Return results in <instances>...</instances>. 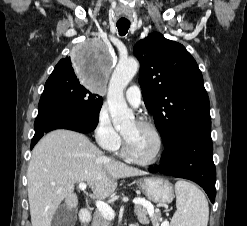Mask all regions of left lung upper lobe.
Returning a JSON list of instances; mask_svg holds the SVG:
<instances>
[{
	"label": "left lung upper lobe",
	"mask_w": 247,
	"mask_h": 226,
	"mask_svg": "<svg viewBox=\"0 0 247 226\" xmlns=\"http://www.w3.org/2000/svg\"><path fill=\"white\" fill-rule=\"evenodd\" d=\"M134 54L144 103L154 113L164 145L188 126L211 121L201 71L183 45L154 32L137 42Z\"/></svg>",
	"instance_id": "obj_1"
}]
</instances>
